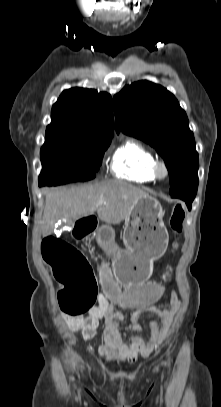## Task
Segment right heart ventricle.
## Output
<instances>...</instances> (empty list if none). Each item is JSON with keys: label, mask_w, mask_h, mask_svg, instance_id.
Wrapping results in <instances>:
<instances>
[{"label": "right heart ventricle", "mask_w": 221, "mask_h": 407, "mask_svg": "<svg viewBox=\"0 0 221 407\" xmlns=\"http://www.w3.org/2000/svg\"><path fill=\"white\" fill-rule=\"evenodd\" d=\"M156 161L155 155L144 145L127 140L115 151L110 167L117 178L149 184L156 180L153 172Z\"/></svg>", "instance_id": "1"}]
</instances>
